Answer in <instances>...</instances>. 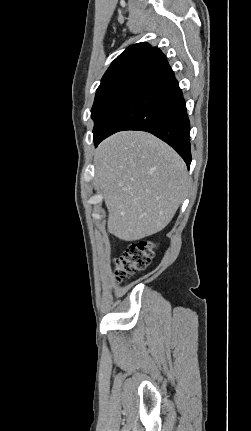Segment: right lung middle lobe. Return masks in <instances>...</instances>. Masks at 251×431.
I'll return each instance as SVG.
<instances>
[{
	"instance_id": "obj_1",
	"label": "right lung middle lobe",
	"mask_w": 251,
	"mask_h": 431,
	"mask_svg": "<svg viewBox=\"0 0 251 431\" xmlns=\"http://www.w3.org/2000/svg\"><path fill=\"white\" fill-rule=\"evenodd\" d=\"M145 63L126 65L101 81L91 109L94 139L106 129L120 105L135 88L147 68Z\"/></svg>"
}]
</instances>
